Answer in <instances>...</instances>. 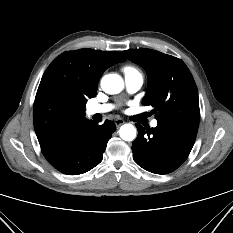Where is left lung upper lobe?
I'll return each mask as SVG.
<instances>
[{
    "label": "left lung upper lobe",
    "instance_id": "1",
    "mask_svg": "<svg viewBox=\"0 0 233 233\" xmlns=\"http://www.w3.org/2000/svg\"><path fill=\"white\" fill-rule=\"evenodd\" d=\"M123 53L146 70L149 83L142 104L153 106L152 113L158 123L198 126V90L181 59L151 49L126 50Z\"/></svg>",
    "mask_w": 233,
    "mask_h": 233
}]
</instances>
